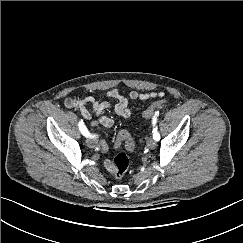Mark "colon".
<instances>
[{"label": "colon", "instance_id": "5ec220e1", "mask_svg": "<svg viewBox=\"0 0 243 243\" xmlns=\"http://www.w3.org/2000/svg\"><path fill=\"white\" fill-rule=\"evenodd\" d=\"M76 100H69L68 104H74ZM166 104V100L161 99L153 104H151L146 110L143 112V117L150 118L156 110L163 107ZM121 145H124L128 150L133 151L137 148V145L130 137L129 133L126 131H121L116 139V147H120ZM129 157L124 153H119L115 156L113 160V166H114V176L117 179H121L126 174L128 168H129Z\"/></svg>", "mask_w": 243, "mask_h": 243}]
</instances>
